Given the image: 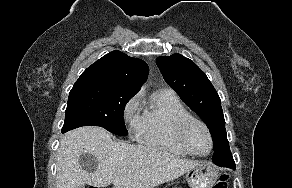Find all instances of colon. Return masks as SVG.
Listing matches in <instances>:
<instances>
[{
  "label": "colon",
  "mask_w": 292,
  "mask_h": 188,
  "mask_svg": "<svg viewBox=\"0 0 292 188\" xmlns=\"http://www.w3.org/2000/svg\"><path fill=\"white\" fill-rule=\"evenodd\" d=\"M228 180H229V175L228 174H223L218 181L215 183L213 188H228ZM88 188H96V187H88Z\"/></svg>",
  "instance_id": "1"
}]
</instances>
